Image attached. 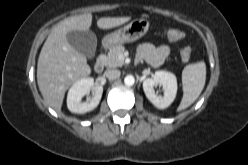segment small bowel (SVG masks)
Here are the masks:
<instances>
[{"mask_svg":"<svg viewBox=\"0 0 248 165\" xmlns=\"http://www.w3.org/2000/svg\"><path fill=\"white\" fill-rule=\"evenodd\" d=\"M170 54V48L167 45L154 46L151 43H143L138 48V56L144 59L153 67L160 65Z\"/></svg>","mask_w":248,"mask_h":165,"instance_id":"c3829d8e","label":"small bowel"}]
</instances>
